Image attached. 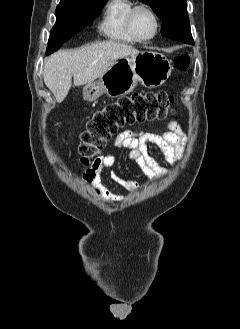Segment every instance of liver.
I'll return each mask as SVG.
<instances>
[{
	"instance_id": "liver-1",
	"label": "liver",
	"mask_w": 240,
	"mask_h": 329,
	"mask_svg": "<svg viewBox=\"0 0 240 329\" xmlns=\"http://www.w3.org/2000/svg\"><path fill=\"white\" fill-rule=\"evenodd\" d=\"M138 53L130 45L111 40L74 50H62L46 59L44 82L56 101L61 103L71 88L72 77L76 86L91 83L106 73L120 58Z\"/></svg>"
}]
</instances>
